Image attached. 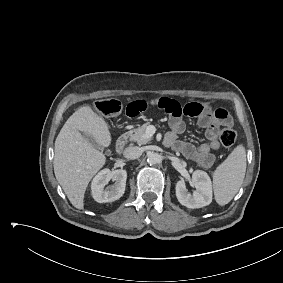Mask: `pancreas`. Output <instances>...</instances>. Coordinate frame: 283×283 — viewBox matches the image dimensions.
I'll list each match as a JSON object with an SVG mask.
<instances>
[{
    "label": "pancreas",
    "mask_w": 283,
    "mask_h": 283,
    "mask_svg": "<svg viewBox=\"0 0 283 283\" xmlns=\"http://www.w3.org/2000/svg\"><path fill=\"white\" fill-rule=\"evenodd\" d=\"M149 123H145L134 130H130L127 134L129 136L130 141L136 142L138 145H143L149 142L150 138L147 133V127Z\"/></svg>",
    "instance_id": "cf45deb5"
}]
</instances>
